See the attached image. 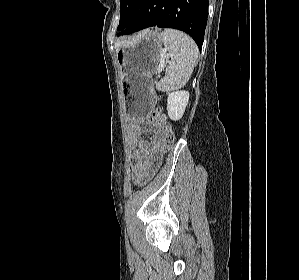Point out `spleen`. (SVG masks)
<instances>
[{"instance_id": "obj_1", "label": "spleen", "mask_w": 299, "mask_h": 280, "mask_svg": "<svg viewBox=\"0 0 299 280\" xmlns=\"http://www.w3.org/2000/svg\"><path fill=\"white\" fill-rule=\"evenodd\" d=\"M162 40L171 60L164 78L156 84V89L168 92L179 89L188 82L197 64L199 51L188 35L174 29H165Z\"/></svg>"}]
</instances>
